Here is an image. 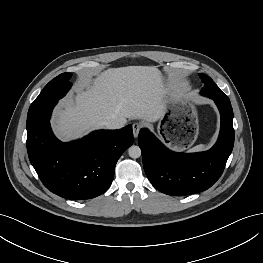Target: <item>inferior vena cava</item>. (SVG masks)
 Returning a JSON list of instances; mask_svg holds the SVG:
<instances>
[{
  "label": "inferior vena cava",
  "instance_id": "602c4592",
  "mask_svg": "<svg viewBox=\"0 0 263 263\" xmlns=\"http://www.w3.org/2000/svg\"><path fill=\"white\" fill-rule=\"evenodd\" d=\"M104 127L107 129H119L124 126V123L118 121V120H107L103 123Z\"/></svg>",
  "mask_w": 263,
  "mask_h": 263
}]
</instances>
